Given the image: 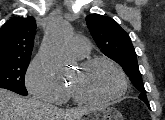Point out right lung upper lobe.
<instances>
[{
	"instance_id": "1",
	"label": "right lung upper lobe",
	"mask_w": 165,
	"mask_h": 120,
	"mask_svg": "<svg viewBox=\"0 0 165 120\" xmlns=\"http://www.w3.org/2000/svg\"><path fill=\"white\" fill-rule=\"evenodd\" d=\"M36 22L31 16L8 20L0 29V58L30 59Z\"/></svg>"
}]
</instances>
